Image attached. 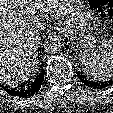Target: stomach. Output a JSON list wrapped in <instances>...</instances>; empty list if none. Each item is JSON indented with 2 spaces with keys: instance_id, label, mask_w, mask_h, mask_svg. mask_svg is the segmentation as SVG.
Wrapping results in <instances>:
<instances>
[{
  "instance_id": "stomach-1",
  "label": "stomach",
  "mask_w": 113,
  "mask_h": 113,
  "mask_svg": "<svg viewBox=\"0 0 113 113\" xmlns=\"http://www.w3.org/2000/svg\"><path fill=\"white\" fill-rule=\"evenodd\" d=\"M71 13L66 25L79 52L93 51L102 32L101 20L83 0H69Z\"/></svg>"
}]
</instances>
